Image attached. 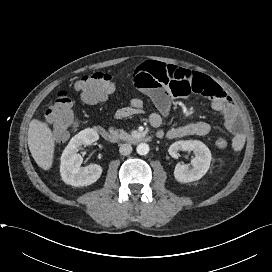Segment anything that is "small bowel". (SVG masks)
<instances>
[{
  "label": "small bowel",
  "mask_w": 272,
  "mask_h": 272,
  "mask_svg": "<svg viewBox=\"0 0 272 272\" xmlns=\"http://www.w3.org/2000/svg\"><path fill=\"white\" fill-rule=\"evenodd\" d=\"M132 82L152 99L158 109V112H152L148 117L154 128L160 127L162 117L169 116L175 97L198 93L207 97L211 101V107L223 115L225 126L233 135L231 142L233 149L240 151L244 147L246 136L241 126L239 112L230 96L209 77L174 65L147 61L134 70ZM140 113L142 110L126 106L118 109L114 116L121 120ZM211 129L209 122L197 121L168 130L159 129L157 136L166 139L204 136Z\"/></svg>",
  "instance_id": "c3829d8e"
}]
</instances>
